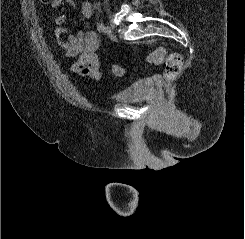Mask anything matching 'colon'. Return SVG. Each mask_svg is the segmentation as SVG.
I'll list each match as a JSON object with an SVG mask.
<instances>
[{"instance_id":"5ec220e1","label":"colon","mask_w":245,"mask_h":239,"mask_svg":"<svg viewBox=\"0 0 245 239\" xmlns=\"http://www.w3.org/2000/svg\"><path fill=\"white\" fill-rule=\"evenodd\" d=\"M44 4L51 3V0H40ZM150 62L152 64H164V78L167 84H170L183 69V58L180 54L169 52L164 47L154 49L150 54ZM113 73L117 76L123 74V69L120 65L113 66Z\"/></svg>"}]
</instances>
